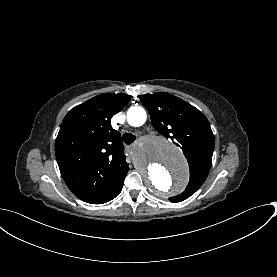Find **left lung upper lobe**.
<instances>
[{"label":"left lung upper lobe","mask_w":277,"mask_h":277,"mask_svg":"<svg viewBox=\"0 0 277 277\" xmlns=\"http://www.w3.org/2000/svg\"><path fill=\"white\" fill-rule=\"evenodd\" d=\"M147 108L153 127L180 147L187 158L190 180L187 188L173 203L193 195L206 180L214 149V135L209 121L197 108L166 92L139 96Z\"/></svg>","instance_id":"left-lung-upper-lobe-1"}]
</instances>
